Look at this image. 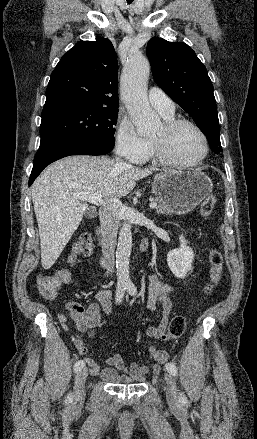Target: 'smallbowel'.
I'll list each match as a JSON object with an SVG mask.
<instances>
[{
	"label": "small bowel",
	"mask_w": 257,
	"mask_h": 439,
	"mask_svg": "<svg viewBox=\"0 0 257 439\" xmlns=\"http://www.w3.org/2000/svg\"><path fill=\"white\" fill-rule=\"evenodd\" d=\"M171 292L172 287L170 285L162 282L156 274L150 275L147 307L151 311L161 307L164 312V321L159 325L150 326L146 330V336L149 339L148 354L150 359L156 362L155 371H159V365L165 364L169 359L168 352L155 348L151 344V340L159 338L167 329L172 312ZM111 298V291L104 289L97 292L96 302L83 305L75 301H69L65 306L67 313H61L58 317L59 321L65 324L70 319L79 333L88 332L90 336H95L97 329L102 326L100 311L102 310L106 314L112 312ZM74 345L80 355L88 353V347L83 338L77 337ZM83 362L89 368L90 375L100 376L103 380L112 383L143 382L146 380L149 371L147 366L136 363L126 366L122 355L119 353L105 359L107 367L103 370H100V367L92 358L85 357Z\"/></svg>",
	"instance_id": "c3829d8e"
}]
</instances>
